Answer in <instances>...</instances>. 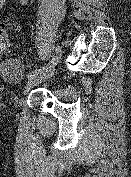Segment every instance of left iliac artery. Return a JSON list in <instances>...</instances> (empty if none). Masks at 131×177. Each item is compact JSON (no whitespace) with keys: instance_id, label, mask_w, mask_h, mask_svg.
Here are the masks:
<instances>
[{"instance_id":"left-iliac-artery-1","label":"left iliac artery","mask_w":131,"mask_h":177,"mask_svg":"<svg viewBox=\"0 0 131 177\" xmlns=\"http://www.w3.org/2000/svg\"><path fill=\"white\" fill-rule=\"evenodd\" d=\"M52 65V60H49L46 62V66H43V67H39L35 70H33L29 75H28V78L30 79L31 77L37 75V74H40L41 72L43 71H46L48 66H51Z\"/></svg>"}]
</instances>
